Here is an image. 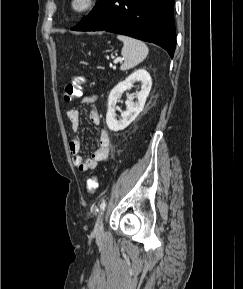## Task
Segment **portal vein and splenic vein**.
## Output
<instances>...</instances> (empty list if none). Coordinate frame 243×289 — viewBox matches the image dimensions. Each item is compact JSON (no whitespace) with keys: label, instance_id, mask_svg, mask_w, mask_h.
<instances>
[{"label":"portal vein and splenic vein","instance_id":"portal-vein-and-splenic-vein-1","mask_svg":"<svg viewBox=\"0 0 243 289\" xmlns=\"http://www.w3.org/2000/svg\"><path fill=\"white\" fill-rule=\"evenodd\" d=\"M122 61H123L122 58H117V59L114 60V63L116 64V63H118V62H122Z\"/></svg>","mask_w":243,"mask_h":289}]
</instances>
